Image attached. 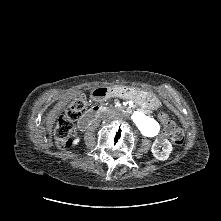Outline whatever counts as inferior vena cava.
Returning a JSON list of instances; mask_svg holds the SVG:
<instances>
[{
    "label": "inferior vena cava",
    "instance_id": "602c4592",
    "mask_svg": "<svg viewBox=\"0 0 221 221\" xmlns=\"http://www.w3.org/2000/svg\"><path fill=\"white\" fill-rule=\"evenodd\" d=\"M110 115H111L110 113H107L106 115L102 116L101 118L104 120H106V119L108 120Z\"/></svg>",
    "mask_w": 221,
    "mask_h": 221
}]
</instances>
